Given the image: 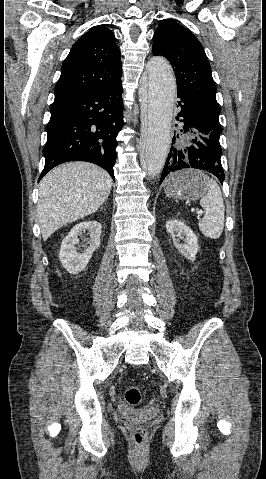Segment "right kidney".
Here are the masks:
<instances>
[{
    "label": "right kidney",
    "instance_id": "right-kidney-1",
    "mask_svg": "<svg viewBox=\"0 0 266 479\" xmlns=\"http://www.w3.org/2000/svg\"><path fill=\"white\" fill-rule=\"evenodd\" d=\"M102 225L95 221H85L75 225L69 232V234L63 239L59 259L62 266L71 274H77L81 272L88 264L93 252L100 245ZM88 231L90 239L83 242L88 246L83 252H79L76 245L79 244V238L82 236L83 231Z\"/></svg>",
    "mask_w": 266,
    "mask_h": 479
}]
</instances>
